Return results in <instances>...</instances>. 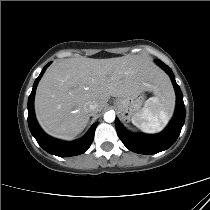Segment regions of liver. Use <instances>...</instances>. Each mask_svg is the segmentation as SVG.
<instances>
[{"mask_svg": "<svg viewBox=\"0 0 210 210\" xmlns=\"http://www.w3.org/2000/svg\"><path fill=\"white\" fill-rule=\"evenodd\" d=\"M144 91L173 98L166 74L145 57L63 59L50 66L38 84L36 118L49 135L71 139L84 130L90 116L100 112L111 96L123 98ZM89 102L98 105L93 113L88 111Z\"/></svg>", "mask_w": 210, "mask_h": 210, "instance_id": "obj_1", "label": "liver"}]
</instances>
